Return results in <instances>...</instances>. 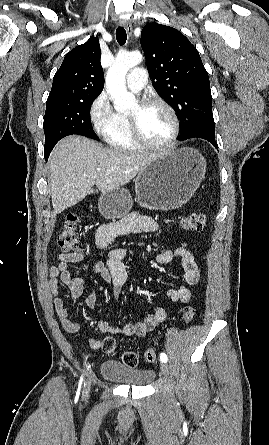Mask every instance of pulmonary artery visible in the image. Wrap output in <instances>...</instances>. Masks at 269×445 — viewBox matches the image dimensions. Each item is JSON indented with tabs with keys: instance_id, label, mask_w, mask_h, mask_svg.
<instances>
[{
	"instance_id": "obj_1",
	"label": "pulmonary artery",
	"mask_w": 269,
	"mask_h": 445,
	"mask_svg": "<svg viewBox=\"0 0 269 445\" xmlns=\"http://www.w3.org/2000/svg\"><path fill=\"white\" fill-rule=\"evenodd\" d=\"M147 81V72L144 68L137 67L132 69L126 78L128 89L133 92H139L145 86Z\"/></svg>"
}]
</instances>
